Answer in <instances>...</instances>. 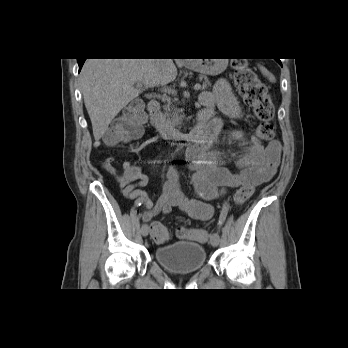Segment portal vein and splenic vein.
Wrapping results in <instances>:
<instances>
[{
  "label": "portal vein and splenic vein",
  "mask_w": 348,
  "mask_h": 348,
  "mask_svg": "<svg viewBox=\"0 0 348 348\" xmlns=\"http://www.w3.org/2000/svg\"><path fill=\"white\" fill-rule=\"evenodd\" d=\"M194 90L195 91H199V90H201V85L200 84H196L195 86H194ZM171 93H174L175 91H173V90H169Z\"/></svg>",
  "instance_id": "1"
}]
</instances>
